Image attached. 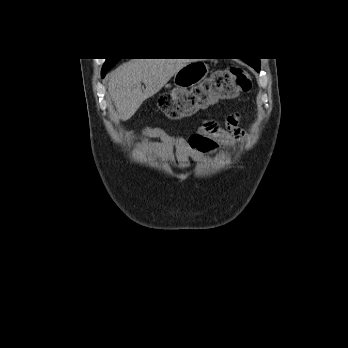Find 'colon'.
Returning a JSON list of instances; mask_svg holds the SVG:
<instances>
[{
  "label": "colon",
  "instance_id": "colon-1",
  "mask_svg": "<svg viewBox=\"0 0 348 348\" xmlns=\"http://www.w3.org/2000/svg\"><path fill=\"white\" fill-rule=\"evenodd\" d=\"M204 88L213 99H227L248 93L252 88V77L241 66L231 65L215 72L213 78L204 84ZM160 111L168 118H177L196 108L190 93L178 91L160 97ZM210 126L215 124L210 123Z\"/></svg>",
  "mask_w": 348,
  "mask_h": 348
}]
</instances>
